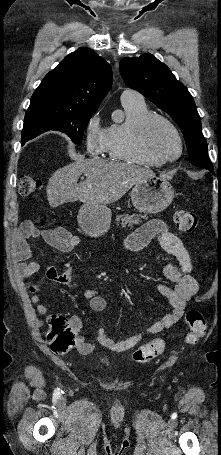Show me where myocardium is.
<instances>
[{
    "mask_svg": "<svg viewBox=\"0 0 221 455\" xmlns=\"http://www.w3.org/2000/svg\"><path fill=\"white\" fill-rule=\"evenodd\" d=\"M156 121H161L165 123L174 133L179 146V151L176 156L172 158H162L156 155L150 148L148 144V133L150 127ZM133 139L137 150L140 151L145 156H147L148 158H150L156 164H166L178 160L181 157L184 149L183 139L177 126L166 116L156 113H150L139 121V123L135 127Z\"/></svg>",
    "mask_w": 221,
    "mask_h": 455,
    "instance_id": "f54148a6",
    "label": "myocardium"
}]
</instances>
